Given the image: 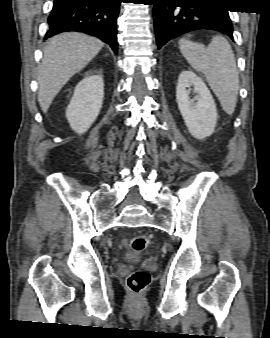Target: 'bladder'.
I'll list each match as a JSON object with an SVG mask.
<instances>
[{"label":"bladder","mask_w":270,"mask_h":338,"mask_svg":"<svg viewBox=\"0 0 270 338\" xmlns=\"http://www.w3.org/2000/svg\"><path fill=\"white\" fill-rule=\"evenodd\" d=\"M136 253H137V252H136ZM136 253L129 254V255L127 256V259H128V260H138V259H140L141 257H140L139 255H137Z\"/></svg>","instance_id":"obj_1"}]
</instances>
